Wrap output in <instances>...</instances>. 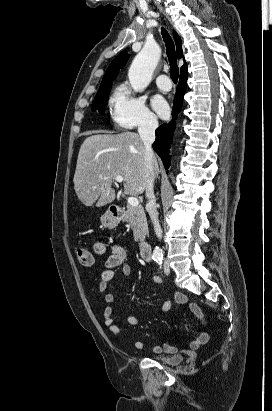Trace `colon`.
I'll return each mask as SVG.
<instances>
[{
	"mask_svg": "<svg viewBox=\"0 0 272 411\" xmlns=\"http://www.w3.org/2000/svg\"><path fill=\"white\" fill-rule=\"evenodd\" d=\"M76 253L80 264L84 266H92L94 264V257L89 250L79 247L77 248Z\"/></svg>",
	"mask_w": 272,
	"mask_h": 411,
	"instance_id": "1",
	"label": "colon"
}]
</instances>
